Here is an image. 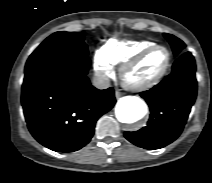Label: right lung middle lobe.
<instances>
[{
    "mask_svg": "<svg viewBox=\"0 0 212 183\" xmlns=\"http://www.w3.org/2000/svg\"><path fill=\"white\" fill-rule=\"evenodd\" d=\"M84 34L59 31L46 38L29 58L44 55L87 56Z\"/></svg>",
    "mask_w": 212,
    "mask_h": 183,
    "instance_id": "1",
    "label": "right lung middle lobe"
}]
</instances>
